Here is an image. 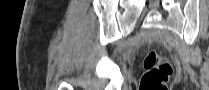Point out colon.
<instances>
[{"label": "colon", "mask_w": 209, "mask_h": 90, "mask_svg": "<svg viewBox=\"0 0 209 90\" xmlns=\"http://www.w3.org/2000/svg\"><path fill=\"white\" fill-rule=\"evenodd\" d=\"M144 73L139 90H168L169 79L173 73L170 61L156 53L148 52L143 61Z\"/></svg>", "instance_id": "colon-1"}]
</instances>
